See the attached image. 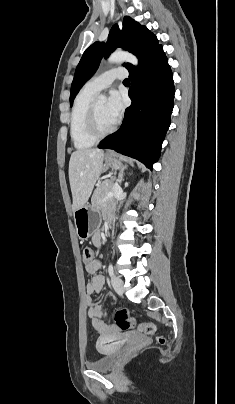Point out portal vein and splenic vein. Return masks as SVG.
<instances>
[{"label":"portal vein and splenic vein","mask_w":235,"mask_h":404,"mask_svg":"<svg viewBox=\"0 0 235 404\" xmlns=\"http://www.w3.org/2000/svg\"><path fill=\"white\" fill-rule=\"evenodd\" d=\"M114 196L113 192H109L106 197L103 199V202L107 201L108 199L112 198Z\"/></svg>","instance_id":"portal-vein-and-splenic-vein-1"}]
</instances>
